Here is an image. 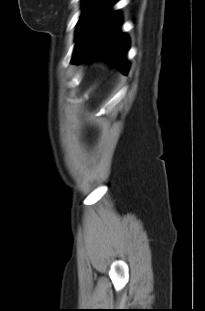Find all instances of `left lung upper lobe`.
Segmentation results:
<instances>
[{"label": "left lung upper lobe", "mask_w": 205, "mask_h": 311, "mask_svg": "<svg viewBox=\"0 0 205 311\" xmlns=\"http://www.w3.org/2000/svg\"><path fill=\"white\" fill-rule=\"evenodd\" d=\"M116 1L118 0H83L85 8L77 26L76 47L113 15L109 9Z\"/></svg>", "instance_id": "5c2ea615"}]
</instances>
